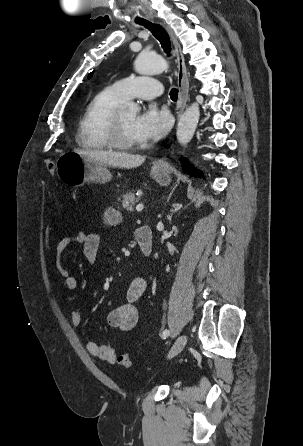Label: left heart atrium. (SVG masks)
Wrapping results in <instances>:
<instances>
[{
  "label": "left heart atrium",
  "instance_id": "39dd6f15",
  "mask_svg": "<svg viewBox=\"0 0 303 446\" xmlns=\"http://www.w3.org/2000/svg\"><path fill=\"white\" fill-rule=\"evenodd\" d=\"M170 126L171 117L168 111L151 106L136 117L133 130L139 141H155L164 137Z\"/></svg>",
  "mask_w": 303,
  "mask_h": 446
}]
</instances>
